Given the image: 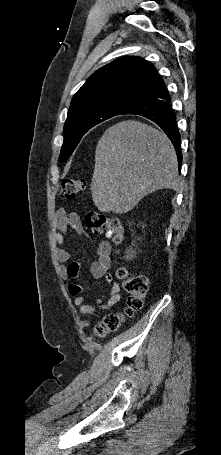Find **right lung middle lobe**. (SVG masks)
<instances>
[{"mask_svg": "<svg viewBox=\"0 0 221 455\" xmlns=\"http://www.w3.org/2000/svg\"><path fill=\"white\" fill-rule=\"evenodd\" d=\"M123 110L120 105L100 102L79 106L69 111L64 125V143L59 157L60 162L63 163L69 157L90 128L120 115Z\"/></svg>", "mask_w": 221, "mask_h": 455, "instance_id": "dd1d6c3e", "label": "right lung middle lobe"}]
</instances>
